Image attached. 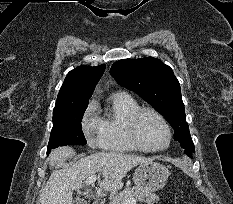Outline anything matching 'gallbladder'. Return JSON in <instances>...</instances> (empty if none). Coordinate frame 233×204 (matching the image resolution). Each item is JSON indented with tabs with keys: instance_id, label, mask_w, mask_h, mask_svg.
Returning <instances> with one entry per match:
<instances>
[{
	"instance_id": "obj_1",
	"label": "gallbladder",
	"mask_w": 233,
	"mask_h": 204,
	"mask_svg": "<svg viewBox=\"0 0 233 204\" xmlns=\"http://www.w3.org/2000/svg\"><path fill=\"white\" fill-rule=\"evenodd\" d=\"M75 204H87V202L84 199L76 198Z\"/></svg>"
}]
</instances>
